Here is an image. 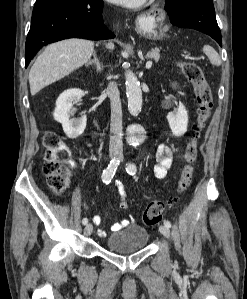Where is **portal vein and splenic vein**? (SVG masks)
<instances>
[{"label": "portal vein and splenic vein", "mask_w": 247, "mask_h": 299, "mask_svg": "<svg viewBox=\"0 0 247 299\" xmlns=\"http://www.w3.org/2000/svg\"><path fill=\"white\" fill-rule=\"evenodd\" d=\"M151 66H152V61H147V63H146V68H147V69H150Z\"/></svg>", "instance_id": "obj_1"}]
</instances>
